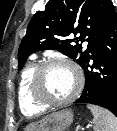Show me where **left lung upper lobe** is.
Segmentation results:
<instances>
[{"label": "left lung upper lobe", "instance_id": "obj_1", "mask_svg": "<svg viewBox=\"0 0 117 131\" xmlns=\"http://www.w3.org/2000/svg\"><path fill=\"white\" fill-rule=\"evenodd\" d=\"M113 6L110 0H49L44 11L30 20L18 50V70L31 53L53 49L75 60L82 68L94 52ZM70 34L78 36L70 39ZM87 41L82 48L79 42Z\"/></svg>", "mask_w": 117, "mask_h": 131}]
</instances>
